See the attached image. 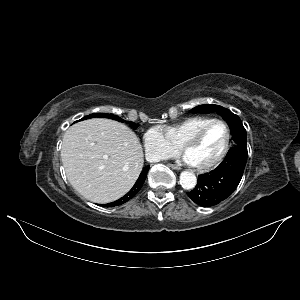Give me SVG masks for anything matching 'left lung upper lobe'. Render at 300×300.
Here are the masks:
<instances>
[{
    "mask_svg": "<svg viewBox=\"0 0 300 300\" xmlns=\"http://www.w3.org/2000/svg\"><path fill=\"white\" fill-rule=\"evenodd\" d=\"M216 111L220 114L229 124L231 128L232 139L235 146L246 147L247 137L246 130L242 125L241 119L233 114L229 109L223 108L219 105H200L191 110L193 113H211Z\"/></svg>",
    "mask_w": 300,
    "mask_h": 300,
    "instance_id": "5c2ea615",
    "label": "left lung upper lobe"
}]
</instances>
